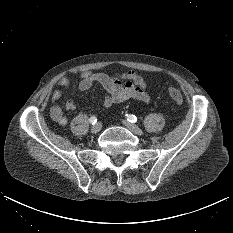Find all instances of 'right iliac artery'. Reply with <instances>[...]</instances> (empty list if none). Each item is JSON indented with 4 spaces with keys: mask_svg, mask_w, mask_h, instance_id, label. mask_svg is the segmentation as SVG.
<instances>
[{
    "mask_svg": "<svg viewBox=\"0 0 233 233\" xmlns=\"http://www.w3.org/2000/svg\"><path fill=\"white\" fill-rule=\"evenodd\" d=\"M89 122L93 125L97 122V118L95 116H92L90 119H89Z\"/></svg>",
    "mask_w": 233,
    "mask_h": 233,
    "instance_id": "82829eb1",
    "label": "right iliac artery"
}]
</instances>
